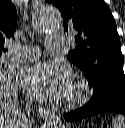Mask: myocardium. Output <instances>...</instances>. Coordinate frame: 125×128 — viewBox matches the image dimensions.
Returning <instances> with one entry per match:
<instances>
[{
    "label": "myocardium",
    "instance_id": "1",
    "mask_svg": "<svg viewBox=\"0 0 125 128\" xmlns=\"http://www.w3.org/2000/svg\"><path fill=\"white\" fill-rule=\"evenodd\" d=\"M91 90L86 82H77L68 97L67 104L70 107H76L83 104L89 98Z\"/></svg>",
    "mask_w": 125,
    "mask_h": 128
}]
</instances>
